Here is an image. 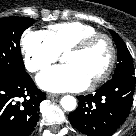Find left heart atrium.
I'll return each instance as SVG.
<instances>
[{"instance_id": "1", "label": "left heart atrium", "mask_w": 136, "mask_h": 136, "mask_svg": "<svg viewBox=\"0 0 136 136\" xmlns=\"http://www.w3.org/2000/svg\"><path fill=\"white\" fill-rule=\"evenodd\" d=\"M38 85L50 92L80 91L90 81L75 65L66 64L46 69L37 76Z\"/></svg>"}]
</instances>
